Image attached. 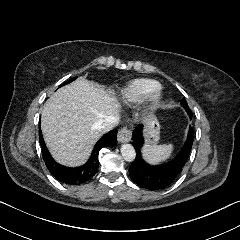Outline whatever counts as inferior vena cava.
<instances>
[{
	"mask_svg": "<svg viewBox=\"0 0 240 240\" xmlns=\"http://www.w3.org/2000/svg\"><path fill=\"white\" fill-rule=\"evenodd\" d=\"M119 123V117L114 115H108L104 118L100 119L96 123V127L101 132L105 133L113 129L115 126H117Z\"/></svg>",
	"mask_w": 240,
	"mask_h": 240,
	"instance_id": "obj_1",
	"label": "inferior vena cava"
}]
</instances>
